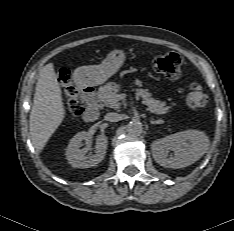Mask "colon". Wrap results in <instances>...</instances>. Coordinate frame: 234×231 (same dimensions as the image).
Wrapping results in <instances>:
<instances>
[{
  "label": "colon",
  "instance_id": "colon-1",
  "mask_svg": "<svg viewBox=\"0 0 234 231\" xmlns=\"http://www.w3.org/2000/svg\"><path fill=\"white\" fill-rule=\"evenodd\" d=\"M183 59L177 53H168L156 58L154 69L170 80H176L181 75ZM63 100L67 115L71 121H76L83 112V105L77 90L69 83V73L63 70L60 74ZM186 106L191 110H200L207 106L208 97L199 85H192L185 98Z\"/></svg>",
  "mask_w": 234,
  "mask_h": 231
}]
</instances>
